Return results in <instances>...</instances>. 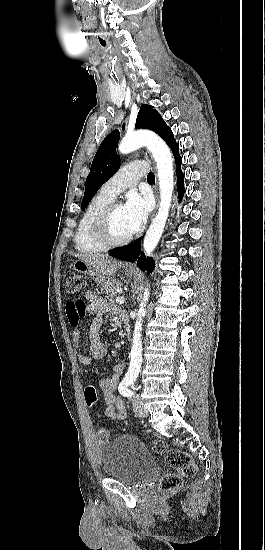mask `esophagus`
<instances>
[{"label":"esophagus","mask_w":265,"mask_h":550,"mask_svg":"<svg viewBox=\"0 0 265 550\" xmlns=\"http://www.w3.org/2000/svg\"><path fill=\"white\" fill-rule=\"evenodd\" d=\"M156 202H157V204H156V209H157V208H158V204H159V195H158V192H156ZM133 267H134L133 264H130V265H129V268H133Z\"/></svg>","instance_id":"esophagus-1"}]
</instances>
